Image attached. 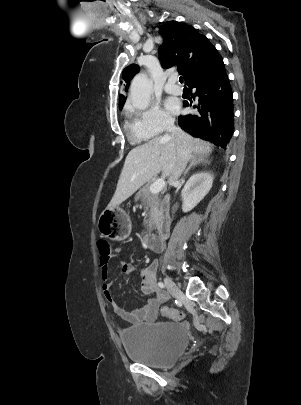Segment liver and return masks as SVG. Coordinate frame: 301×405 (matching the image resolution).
Instances as JSON below:
<instances>
[{"mask_svg": "<svg viewBox=\"0 0 301 405\" xmlns=\"http://www.w3.org/2000/svg\"><path fill=\"white\" fill-rule=\"evenodd\" d=\"M190 155H208L212 145L184 133ZM193 157V156H192ZM177 158V141L172 135L159 136L133 148L127 155L115 194L107 208L113 209L162 171L169 176Z\"/></svg>", "mask_w": 301, "mask_h": 405, "instance_id": "obj_1", "label": "liver"}]
</instances>
